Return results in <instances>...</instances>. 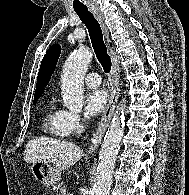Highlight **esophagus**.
<instances>
[{
	"instance_id": "esophagus-1",
	"label": "esophagus",
	"mask_w": 189,
	"mask_h": 195,
	"mask_svg": "<svg viewBox=\"0 0 189 195\" xmlns=\"http://www.w3.org/2000/svg\"><path fill=\"white\" fill-rule=\"evenodd\" d=\"M90 10L93 13V15L95 16L96 20L100 24L104 38L107 41L108 51H109V55L111 57V62H112L111 72H110V80L112 83L111 95H110L109 102L106 106V109L102 115V118L98 124L95 139L89 147L88 152L92 154V153H95L97 151V149L102 141V138H103V136L107 130V127L109 125V122L113 116L115 106H116V103H117V100L119 97V66H118V60H117L116 54L113 51V49L110 48V46L108 44L109 31H108V28L105 24V20H104L103 15L101 14V12L99 11V8L97 6L92 5L90 7Z\"/></svg>"
}]
</instances>
